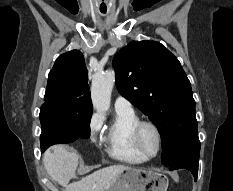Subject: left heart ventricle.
Returning <instances> with one entry per match:
<instances>
[{
    "label": "left heart ventricle",
    "instance_id": "left-heart-ventricle-1",
    "mask_svg": "<svg viewBox=\"0 0 233 191\" xmlns=\"http://www.w3.org/2000/svg\"><path fill=\"white\" fill-rule=\"evenodd\" d=\"M141 144L144 151L153 155L157 150V137L154 130L150 127L143 128L141 132Z\"/></svg>",
    "mask_w": 233,
    "mask_h": 191
}]
</instances>
